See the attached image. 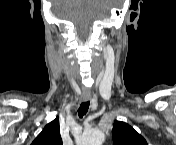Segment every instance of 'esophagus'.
<instances>
[{
    "label": "esophagus",
    "mask_w": 176,
    "mask_h": 145,
    "mask_svg": "<svg viewBox=\"0 0 176 145\" xmlns=\"http://www.w3.org/2000/svg\"><path fill=\"white\" fill-rule=\"evenodd\" d=\"M89 99H90V96H89V95H84V96H83V100H84V101H88Z\"/></svg>",
    "instance_id": "esophagus-1"
}]
</instances>
